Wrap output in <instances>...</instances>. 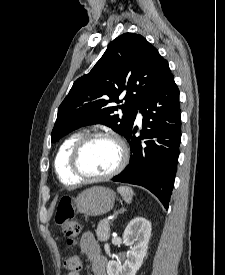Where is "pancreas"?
I'll use <instances>...</instances> for the list:
<instances>
[{"label": "pancreas", "instance_id": "obj_1", "mask_svg": "<svg viewBox=\"0 0 225 275\" xmlns=\"http://www.w3.org/2000/svg\"><path fill=\"white\" fill-rule=\"evenodd\" d=\"M96 235L99 241H107L110 236L109 221L101 220L97 226Z\"/></svg>", "mask_w": 225, "mask_h": 275}]
</instances>
